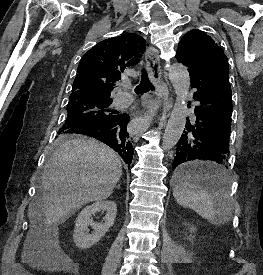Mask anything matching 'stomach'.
Returning a JSON list of instances; mask_svg holds the SVG:
<instances>
[{
	"label": "stomach",
	"instance_id": "0dacf381",
	"mask_svg": "<svg viewBox=\"0 0 263 275\" xmlns=\"http://www.w3.org/2000/svg\"><path fill=\"white\" fill-rule=\"evenodd\" d=\"M197 163H193L192 165H196Z\"/></svg>",
	"mask_w": 263,
	"mask_h": 275
}]
</instances>
